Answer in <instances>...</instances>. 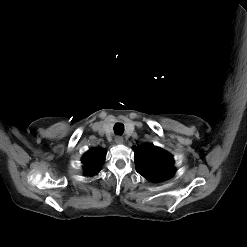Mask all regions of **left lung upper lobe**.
Wrapping results in <instances>:
<instances>
[{
  "label": "left lung upper lobe",
  "mask_w": 247,
  "mask_h": 247,
  "mask_svg": "<svg viewBox=\"0 0 247 247\" xmlns=\"http://www.w3.org/2000/svg\"><path fill=\"white\" fill-rule=\"evenodd\" d=\"M136 170L144 178L152 182L170 179L175 173L173 157L153 144L133 147Z\"/></svg>",
  "instance_id": "obj_1"
}]
</instances>
